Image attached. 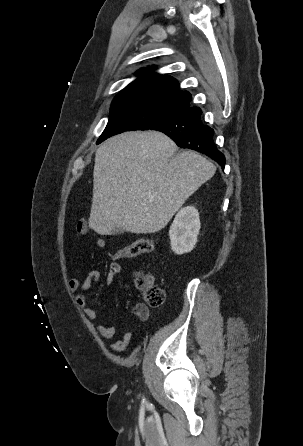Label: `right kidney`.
<instances>
[{"mask_svg":"<svg viewBox=\"0 0 303 446\" xmlns=\"http://www.w3.org/2000/svg\"><path fill=\"white\" fill-rule=\"evenodd\" d=\"M200 227L198 210L194 206L181 208L169 230L172 251L177 255L191 252L197 243Z\"/></svg>","mask_w":303,"mask_h":446,"instance_id":"1","label":"right kidney"}]
</instances>
